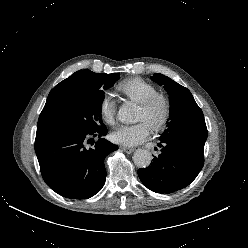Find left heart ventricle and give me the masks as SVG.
Returning <instances> with one entry per match:
<instances>
[{
    "mask_svg": "<svg viewBox=\"0 0 248 248\" xmlns=\"http://www.w3.org/2000/svg\"><path fill=\"white\" fill-rule=\"evenodd\" d=\"M162 115V106L157 105L151 111H145L138 106L136 111V120L137 121H145L151 127L155 121H157Z\"/></svg>",
    "mask_w": 248,
    "mask_h": 248,
    "instance_id": "left-heart-ventricle-1",
    "label": "left heart ventricle"
}]
</instances>
